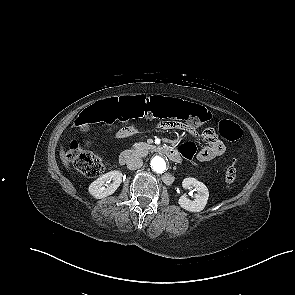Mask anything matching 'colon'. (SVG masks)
<instances>
[{
    "mask_svg": "<svg viewBox=\"0 0 295 295\" xmlns=\"http://www.w3.org/2000/svg\"><path fill=\"white\" fill-rule=\"evenodd\" d=\"M154 117L160 120L183 121L190 128L200 127L211 119V114L202 106L178 99L161 97H136L118 101L102 102L83 110L75 120V127L80 132H87L93 123L103 122L111 125L137 117ZM218 134L228 141L238 140L242 129L230 120H221L217 126ZM87 143L73 140L68 147L67 156L76 170L86 177H97L104 171L101 158L87 148ZM181 156L198 169H205V164L196 163V149L192 143L181 147ZM238 174L233 163L225 171V182L232 183Z\"/></svg>",
    "mask_w": 295,
    "mask_h": 295,
    "instance_id": "colon-1",
    "label": "colon"
}]
</instances>
